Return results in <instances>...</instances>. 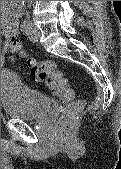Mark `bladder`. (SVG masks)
<instances>
[{
	"mask_svg": "<svg viewBox=\"0 0 121 169\" xmlns=\"http://www.w3.org/2000/svg\"><path fill=\"white\" fill-rule=\"evenodd\" d=\"M1 104L4 114L13 119L39 120L52 108V100L26 85L11 71L1 72Z\"/></svg>",
	"mask_w": 121,
	"mask_h": 169,
	"instance_id": "1",
	"label": "bladder"
}]
</instances>
